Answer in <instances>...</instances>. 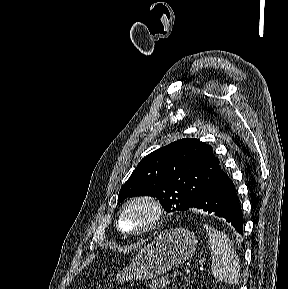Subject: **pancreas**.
<instances>
[{"mask_svg": "<svg viewBox=\"0 0 288 289\" xmlns=\"http://www.w3.org/2000/svg\"><path fill=\"white\" fill-rule=\"evenodd\" d=\"M168 283L169 282L166 277H161L159 280L153 281L149 287L150 289H163Z\"/></svg>", "mask_w": 288, "mask_h": 289, "instance_id": "pancreas-1", "label": "pancreas"}]
</instances>
